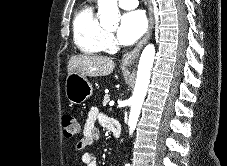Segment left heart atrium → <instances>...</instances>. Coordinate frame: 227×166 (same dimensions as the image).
Listing matches in <instances>:
<instances>
[{
	"instance_id": "obj_1",
	"label": "left heart atrium",
	"mask_w": 227,
	"mask_h": 166,
	"mask_svg": "<svg viewBox=\"0 0 227 166\" xmlns=\"http://www.w3.org/2000/svg\"><path fill=\"white\" fill-rule=\"evenodd\" d=\"M147 29V19L144 12L137 10L125 13L117 29V38L122 44H132L138 40Z\"/></svg>"
}]
</instances>
